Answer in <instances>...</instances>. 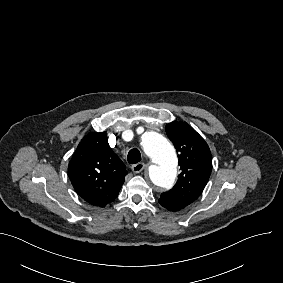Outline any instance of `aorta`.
Returning a JSON list of instances; mask_svg holds the SVG:
<instances>
[{
  "mask_svg": "<svg viewBox=\"0 0 283 283\" xmlns=\"http://www.w3.org/2000/svg\"><path fill=\"white\" fill-rule=\"evenodd\" d=\"M144 152L154 163L149 167V177L156 186L169 189L177 176L178 159L173 145L167 138L154 131L142 136Z\"/></svg>",
  "mask_w": 283,
  "mask_h": 283,
  "instance_id": "762f6f07",
  "label": "aorta"
}]
</instances>
